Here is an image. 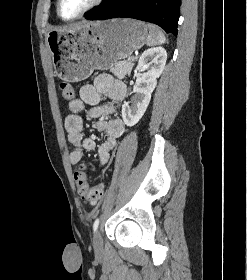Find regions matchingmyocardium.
I'll use <instances>...</instances> for the list:
<instances>
[{"instance_id":"1","label":"myocardium","mask_w":247,"mask_h":280,"mask_svg":"<svg viewBox=\"0 0 247 280\" xmlns=\"http://www.w3.org/2000/svg\"><path fill=\"white\" fill-rule=\"evenodd\" d=\"M61 2H62V0H57V5H56L57 15L63 21L69 22V21H74V20H77V19L83 17L84 15H86L87 13H89L90 11H92L93 9L98 7L100 4H102L104 2V0H92V2L86 8H84L79 14H77L76 16H74L72 18H64L61 15V11H60Z\"/></svg>"}]
</instances>
